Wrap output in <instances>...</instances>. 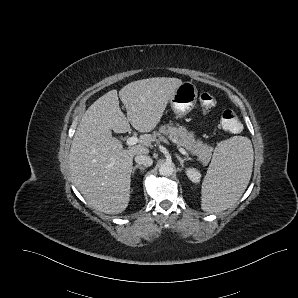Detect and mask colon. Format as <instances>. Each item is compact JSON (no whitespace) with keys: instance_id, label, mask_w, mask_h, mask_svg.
<instances>
[{"instance_id":"obj_1","label":"colon","mask_w":298,"mask_h":298,"mask_svg":"<svg viewBox=\"0 0 298 298\" xmlns=\"http://www.w3.org/2000/svg\"><path fill=\"white\" fill-rule=\"evenodd\" d=\"M201 108L204 111H209L215 106V98L210 93H202L199 96ZM219 125L227 132L238 133L242 126L236 115L232 110H225L220 117Z\"/></svg>"}]
</instances>
